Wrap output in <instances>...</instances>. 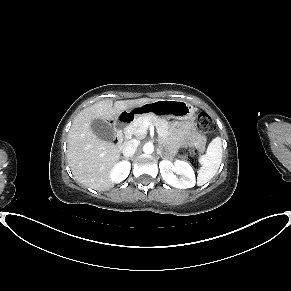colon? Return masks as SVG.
<instances>
[{"label":"colon","mask_w":291,"mask_h":291,"mask_svg":"<svg viewBox=\"0 0 291 291\" xmlns=\"http://www.w3.org/2000/svg\"><path fill=\"white\" fill-rule=\"evenodd\" d=\"M196 128L200 132H210L214 129V121L213 119L206 113H201L198 115ZM115 141H118L117 135H115ZM182 159L190 164H197L199 152L197 149L186 146L180 149L179 152Z\"/></svg>","instance_id":"obj_1"}]
</instances>
